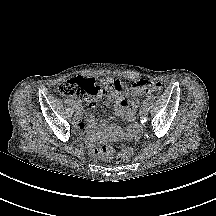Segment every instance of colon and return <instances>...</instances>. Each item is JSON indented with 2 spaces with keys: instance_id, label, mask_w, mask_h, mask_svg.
Segmentation results:
<instances>
[{
  "instance_id": "1",
  "label": "colon",
  "mask_w": 216,
  "mask_h": 216,
  "mask_svg": "<svg viewBox=\"0 0 216 216\" xmlns=\"http://www.w3.org/2000/svg\"><path fill=\"white\" fill-rule=\"evenodd\" d=\"M133 87L140 95H149L161 91V84L152 81H138ZM58 89L63 96L76 97L90 103L95 102L104 93V89L94 79L82 77L69 79L63 82ZM99 153L103 156H114L117 163L130 160L133 154L130 148L116 151L110 145L101 146Z\"/></svg>"
}]
</instances>
